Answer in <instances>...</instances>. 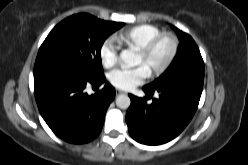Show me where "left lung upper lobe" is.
<instances>
[{"label":"left lung upper lobe","instance_id":"1","mask_svg":"<svg viewBox=\"0 0 248 165\" xmlns=\"http://www.w3.org/2000/svg\"><path fill=\"white\" fill-rule=\"evenodd\" d=\"M180 44L178 52L168 69L154 82L144 86L148 89H156L168 84L182 85L188 82L203 83L204 62L198 46L190 35L176 27Z\"/></svg>","mask_w":248,"mask_h":165}]
</instances>
